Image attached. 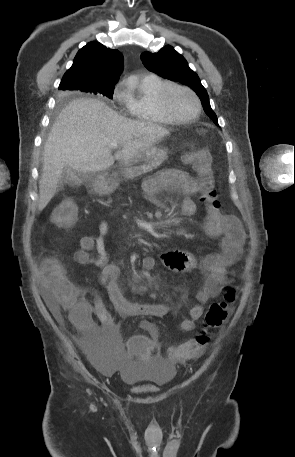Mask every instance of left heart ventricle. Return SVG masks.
Listing matches in <instances>:
<instances>
[{"instance_id": "left-heart-ventricle-1", "label": "left heart ventricle", "mask_w": 295, "mask_h": 457, "mask_svg": "<svg viewBox=\"0 0 295 457\" xmlns=\"http://www.w3.org/2000/svg\"><path fill=\"white\" fill-rule=\"evenodd\" d=\"M168 104L178 117H190L195 113L196 104L193 97L181 89H173L168 96Z\"/></svg>"}]
</instances>
